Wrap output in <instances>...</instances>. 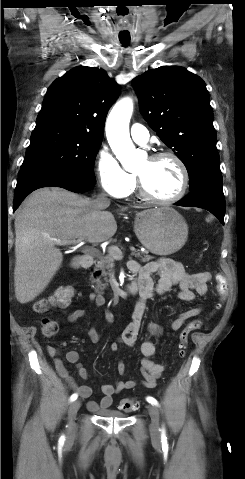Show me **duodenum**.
Here are the masks:
<instances>
[{"mask_svg": "<svg viewBox=\"0 0 245 479\" xmlns=\"http://www.w3.org/2000/svg\"><path fill=\"white\" fill-rule=\"evenodd\" d=\"M80 265L83 268H90L93 265V258L91 255H86L80 259ZM139 291V284L135 281L129 282L123 291L118 292L117 296L121 297L124 293L136 294Z\"/></svg>", "mask_w": 245, "mask_h": 479, "instance_id": "duodenum-1", "label": "duodenum"}]
</instances>
